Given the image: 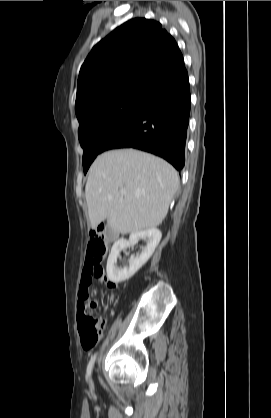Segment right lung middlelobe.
I'll list each match as a JSON object with an SVG mask.
<instances>
[{
	"label": "right lung middle lobe",
	"instance_id": "1",
	"mask_svg": "<svg viewBox=\"0 0 271 418\" xmlns=\"http://www.w3.org/2000/svg\"><path fill=\"white\" fill-rule=\"evenodd\" d=\"M149 100L140 95L122 94L76 113L79 121L78 137L84 150V173L100 153V148L106 139Z\"/></svg>",
	"mask_w": 271,
	"mask_h": 418
}]
</instances>
